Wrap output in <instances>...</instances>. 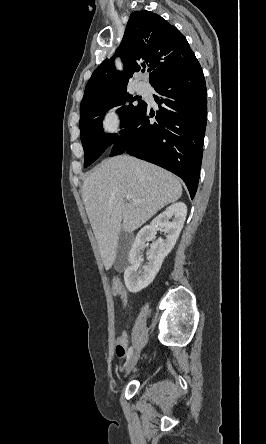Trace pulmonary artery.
I'll use <instances>...</instances> for the list:
<instances>
[{
  "mask_svg": "<svg viewBox=\"0 0 266 444\" xmlns=\"http://www.w3.org/2000/svg\"><path fill=\"white\" fill-rule=\"evenodd\" d=\"M136 88H137L138 92H143L145 89V86L143 84H138Z\"/></svg>",
  "mask_w": 266,
  "mask_h": 444,
  "instance_id": "obj_1",
  "label": "pulmonary artery"
}]
</instances>
